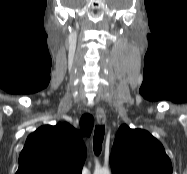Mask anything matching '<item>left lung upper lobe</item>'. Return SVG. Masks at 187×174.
Returning <instances> with one entry per match:
<instances>
[{
    "label": "left lung upper lobe",
    "instance_id": "left-lung-upper-lobe-1",
    "mask_svg": "<svg viewBox=\"0 0 187 174\" xmlns=\"http://www.w3.org/2000/svg\"><path fill=\"white\" fill-rule=\"evenodd\" d=\"M112 174H172L163 145L149 132L121 125L112 147Z\"/></svg>",
    "mask_w": 187,
    "mask_h": 174
}]
</instances>
